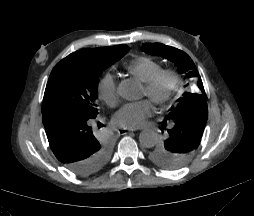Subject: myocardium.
Returning a JSON list of instances; mask_svg holds the SVG:
<instances>
[{
    "label": "myocardium",
    "instance_id": "1",
    "mask_svg": "<svg viewBox=\"0 0 254 216\" xmlns=\"http://www.w3.org/2000/svg\"><path fill=\"white\" fill-rule=\"evenodd\" d=\"M177 73L172 69H161L145 84L146 93H153L152 100L162 104L170 99L177 86Z\"/></svg>",
    "mask_w": 254,
    "mask_h": 216
}]
</instances>
